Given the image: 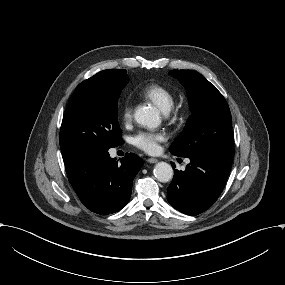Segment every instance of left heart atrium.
I'll list each match as a JSON object with an SVG mask.
<instances>
[{"label":"left heart atrium","mask_w":285,"mask_h":285,"mask_svg":"<svg viewBox=\"0 0 285 285\" xmlns=\"http://www.w3.org/2000/svg\"><path fill=\"white\" fill-rule=\"evenodd\" d=\"M166 139L163 131H140L133 138V144L145 151L146 153H154L158 150V143Z\"/></svg>","instance_id":"1"}]
</instances>
